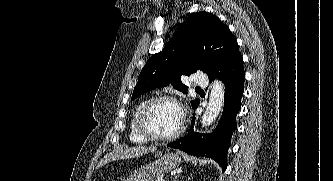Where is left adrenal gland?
Instances as JSON below:
<instances>
[{
	"label": "left adrenal gland",
	"instance_id": "left-adrenal-gland-1",
	"mask_svg": "<svg viewBox=\"0 0 333 181\" xmlns=\"http://www.w3.org/2000/svg\"><path fill=\"white\" fill-rule=\"evenodd\" d=\"M179 176H180V174H177V175L173 178V181H178Z\"/></svg>",
	"mask_w": 333,
	"mask_h": 181
}]
</instances>
